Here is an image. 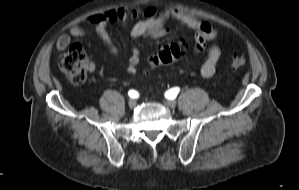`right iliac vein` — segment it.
<instances>
[{
    "instance_id": "1",
    "label": "right iliac vein",
    "mask_w": 299,
    "mask_h": 190,
    "mask_svg": "<svg viewBox=\"0 0 299 190\" xmlns=\"http://www.w3.org/2000/svg\"><path fill=\"white\" fill-rule=\"evenodd\" d=\"M128 105L131 109H134L137 105V101L135 99H130Z\"/></svg>"
}]
</instances>
